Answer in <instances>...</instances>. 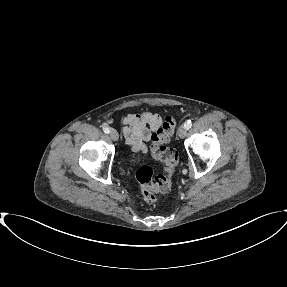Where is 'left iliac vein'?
Instances as JSON below:
<instances>
[{"instance_id": "left-iliac-vein-1", "label": "left iliac vein", "mask_w": 287, "mask_h": 287, "mask_svg": "<svg viewBox=\"0 0 287 287\" xmlns=\"http://www.w3.org/2000/svg\"><path fill=\"white\" fill-rule=\"evenodd\" d=\"M187 134V129L185 127V125H181L178 129V135L180 138H184Z\"/></svg>"}]
</instances>
